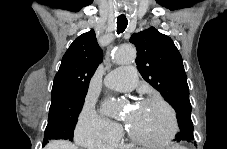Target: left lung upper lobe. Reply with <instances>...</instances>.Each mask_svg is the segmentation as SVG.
<instances>
[{
  "mask_svg": "<svg viewBox=\"0 0 227 149\" xmlns=\"http://www.w3.org/2000/svg\"><path fill=\"white\" fill-rule=\"evenodd\" d=\"M137 68L150 85L176 110L180 132L175 141H193V123L187 77L182 57L170 37L154 27L134 33Z\"/></svg>",
  "mask_w": 227,
  "mask_h": 149,
  "instance_id": "left-lung-upper-lobe-1",
  "label": "left lung upper lobe"
}]
</instances>
